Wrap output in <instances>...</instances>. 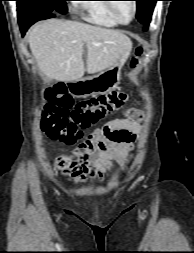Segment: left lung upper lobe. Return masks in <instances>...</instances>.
Segmentation results:
<instances>
[{"mask_svg":"<svg viewBox=\"0 0 194 253\" xmlns=\"http://www.w3.org/2000/svg\"><path fill=\"white\" fill-rule=\"evenodd\" d=\"M137 2V19L140 23L145 24L154 10L158 0H135Z\"/></svg>","mask_w":194,"mask_h":253,"instance_id":"obj_1","label":"left lung upper lobe"}]
</instances>
